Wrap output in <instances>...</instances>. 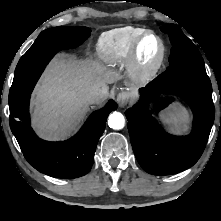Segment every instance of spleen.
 <instances>
[{
	"label": "spleen",
	"mask_w": 221,
	"mask_h": 221,
	"mask_svg": "<svg viewBox=\"0 0 221 221\" xmlns=\"http://www.w3.org/2000/svg\"><path fill=\"white\" fill-rule=\"evenodd\" d=\"M160 118L171 132L179 133L187 129L188 112L178 103H174L168 112L161 113Z\"/></svg>",
	"instance_id": "obj_1"
}]
</instances>
